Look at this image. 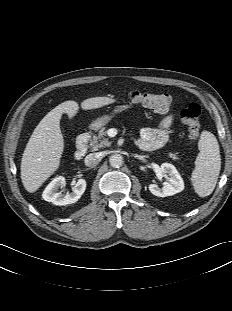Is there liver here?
<instances>
[{"mask_svg": "<svg viewBox=\"0 0 232 311\" xmlns=\"http://www.w3.org/2000/svg\"><path fill=\"white\" fill-rule=\"evenodd\" d=\"M115 101L109 97H93L84 100L81 107L83 110L97 109ZM78 110L77 102L65 101L48 112L34 129L21 160V180L28 192L37 191L59 168L64 150L60 119L64 113L73 118Z\"/></svg>", "mask_w": 232, "mask_h": 311, "instance_id": "obj_1", "label": "liver"}]
</instances>
